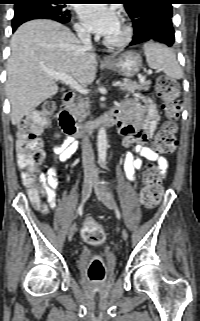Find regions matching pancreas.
I'll return each instance as SVG.
<instances>
[{"instance_id": "obj_1", "label": "pancreas", "mask_w": 200, "mask_h": 321, "mask_svg": "<svg viewBox=\"0 0 200 321\" xmlns=\"http://www.w3.org/2000/svg\"><path fill=\"white\" fill-rule=\"evenodd\" d=\"M151 81L133 82L130 79H123L120 88L128 93L135 91H147L150 88ZM90 101L88 99L79 98L77 102L70 108L72 115L79 121L84 120L90 114Z\"/></svg>"}]
</instances>
